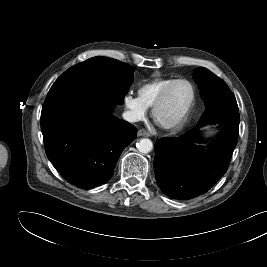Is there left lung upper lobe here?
<instances>
[{
    "mask_svg": "<svg viewBox=\"0 0 267 267\" xmlns=\"http://www.w3.org/2000/svg\"><path fill=\"white\" fill-rule=\"evenodd\" d=\"M193 75L206 105L200 122L218 113L239 112L232 91L222 79L204 67L196 69Z\"/></svg>",
    "mask_w": 267,
    "mask_h": 267,
    "instance_id": "obj_1",
    "label": "left lung upper lobe"
}]
</instances>
